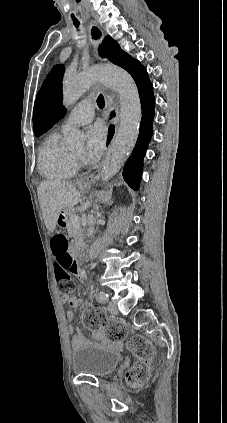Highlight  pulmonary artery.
I'll list each match as a JSON object with an SVG mask.
<instances>
[{
	"instance_id": "pulmonary-artery-1",
	"label": "pulmonary artery",
	"mask_w": 227,
	"mask_h": 423,
	"mask_svg": "<svg viewBox=\"0 0 227 423\" xmlns=\"http://www.w3.org/2000/svg\"><path fill=\"white\" fill-rule=\"evenodd\" d=\"M94 118V109L93 104L84 100L76 105V107L70 112L65 122L61 125L62 128H65L69 125L72 126H81L86 125L92 122Z\"/></svg>"
}]
</instances>
